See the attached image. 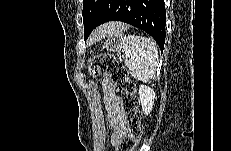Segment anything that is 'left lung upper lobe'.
<instances>
[{"instance_id":"left-lung-upper-lobe-1","label":"left lung upper lobe","mask_w":231,"mask_h":151,"mask_svg":"<svg viewBox=\"0 0 231 151\" xmlns=\"http://www.w3.org/2000/svg\"><path fill=\"white\" fill-rule=\"evenodd\" d=\"M114 0H83L84 36L95 29L100 20L108 13Z\"/></svg>"}]
</instances>
